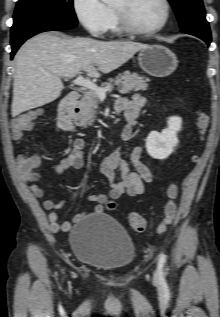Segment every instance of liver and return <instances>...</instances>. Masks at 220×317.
Here are the masks:
<instances>
[{
	"label": "liver",
	"mask_w": 220,
	"mask_h": 317,
	"mask_svg": "<svg viewBox=\"0 0 220 317\" xmlns=\"http://www.w3.org/2000/svg\"><path fill=\"white\" fill-rule=\"evenodd\" d=\"M148 45L131 41H98L41 33L25 42L15 55L12 117L56 100L61 77L85 71L100 77L126 63Z\"/></svg>",
	"instance_id": "6515ba94"
}]
</instances>
